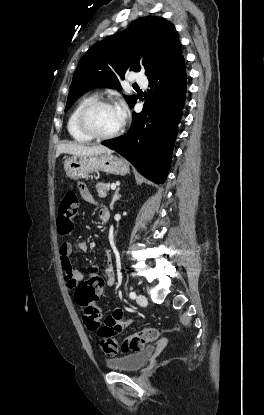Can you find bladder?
<instances>
[{"label": "bladder", "instance_id": "1", "mask_svg": "<svg viewBox=\"0 0 264 415\" xmlns=\"http://www.w3.org/2000/svg\"><path fill=\"white\" fill-rule=\"evenodd\" d=\"M155 352V346L149 345L136 352L126 353L123 356L107 361V366L116 371L137 372L148 362Z\"/></svg>", "mask_w": 264, "mask_h": 415}]
</instances>
